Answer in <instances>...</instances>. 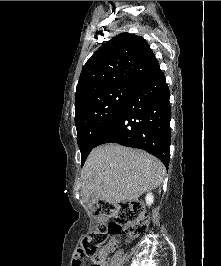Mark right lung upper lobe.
<instances>
[{
  "label": "right lung upper lobe",
  "instance_id": "cb5924a9",
  "mask_svg": "<svg viewBox=\"0 0 221 266\" xmlns=\"http://www.w3.org/2000/svg\"><path fill=\"white\" fill-rule=\"evenodd\" d=\"M160 68L141 36L121 33L103 44L84 65L75 94V108L89 94L115 86L135 87Z\"/></svg>",
  "mask_w": 221,
  "mask_h": 266
}]
</instances>
